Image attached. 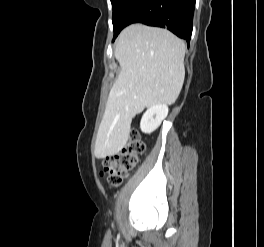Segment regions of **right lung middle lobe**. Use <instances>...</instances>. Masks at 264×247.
I'll return each mask as SVG.
<instances>
[{
	"label": "right lung middle lobe",
	"instance_id": "obj_1",
	"mask_svg": "<svg viewBox=\"0 0 264 247\" xmlns=\"http://www.w3.org/2000/svg\"><path fill=\"white\" fill-rule=\"evenodd\" d=\"M130 0H111L112 8H113V15H112V22H113V29L115 30L117 27V20L124 10L125 6Z\"/></svg>",
	"mask_w": 264,
	"mask_h": 247
}]
</instances>
